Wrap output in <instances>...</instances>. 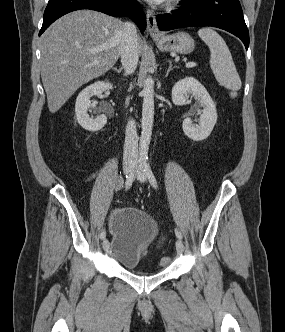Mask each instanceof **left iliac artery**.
Here are the masks:
<instances>
[{
  "instance_id": "obj_1",
  "label": "left iliac artery",
  "mask_w": 285,
  "mask_h": 332,
  "mask_svg": "<svg viewBox=\"0 0 285 332\" xmlns=\"http://www.w3.org/2000/svg\"><path fill=\"white\" fill-rule=\"evenodd\" d=\"M143 166H144V172L148 176L149 182L151 183L153 188L157 189L158 188L157 180H156V178H155V176H154V174L151 170V167H150L148 161H144ZM175 234L179 239L183 238L181 232L178 229H175Z\"/></svg>"
}]
</instances>
